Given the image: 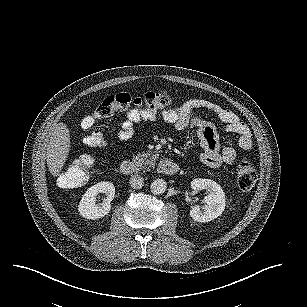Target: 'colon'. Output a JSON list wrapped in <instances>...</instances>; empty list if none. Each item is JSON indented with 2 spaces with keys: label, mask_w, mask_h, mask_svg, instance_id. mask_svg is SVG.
<instances>
[{
  "label": "colon",
  "mask_w": 307,
  "mask_h": 307,
  "mask_svg": "<svg viewBox=\"0 0 307 307\" xmlns=\"http://www.w3.org/2000/svg\"><path fill=\"white\" fill-rule=\"evenodd\" d=\"M172 104V97L168 92H149L143 97H133L127 93H119L104 98L95 110L83 119L84 127H91L97 119L106 118L112 114L128 109L155 111L167 108ZM105 135L101 131H93L84 138V143L93 148L106 146ZM95 172L94 159L89 155H82L70 162L58 175L57 182L62 188H74L85 184ZM238 186L248 191L257 181V171L248 159H243L237 168Z\"/></svg>",
  "instance_id": "obj_1"
}]
</instances>
